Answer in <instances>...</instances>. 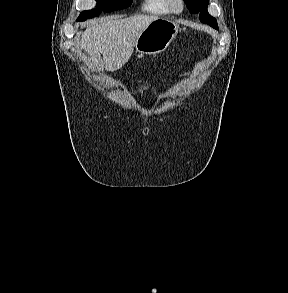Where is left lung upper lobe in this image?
Wrapping results in <instances>:
<instances>
[{
	"instance_id": "left-lung-upper-lobe-1",
	"label": "left lung upper lobe",
	"mask_w": 288,
	"mask_h": 293,
	"mask_svg": "<svg viewBox=\"0 0 288 293\" xmlns=\"http://www.w3.org/2000/svg\"><path fill=\"white\" fill-rule=\"evenodd\" d=\"M184 2L191 14L199 13L200 21L202 23H207L213 28L218 29L216 19L207 11L209 0H184Z\"/></svg>"
}]
</instances>
